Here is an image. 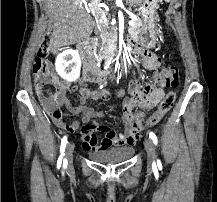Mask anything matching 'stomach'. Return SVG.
<instances>
[{"label":"stomach","instance_id":"stomach-1","mask_svg":"<svg viewBox=\"0 0 217 202\" xmlns=\"http://www.w3.org/2000/svg\"><path fill=\"white\" fill-rule=\"evenodd\" d=\"M159 2L160 0H142L139 4L138 12L142 18V28L137 40L143 48H155L157 44L156 20Z\"/></svg>","mask_w":217,"mask_h":202}]
</instances>
